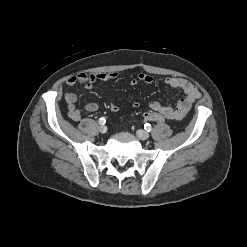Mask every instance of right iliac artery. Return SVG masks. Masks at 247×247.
Listing matches in <instances>:
<instances>
[{
	"mask_svg": "<svg viewBox=\"0 0 247 247\" xmlns=\"http://www.w3.org/2000/svg\"><path fill=\"white\" fill-rule=\"evenodd\" d=\"M105 123H106L105 118L102 117V118L99 119V124L100 125H104Z\"/></svg>",
	"mask_w": 247,
	"mask_h": 247,
	"instance_id": "82829eb1",
	"label": "right iliac artery"
}]
</instances>
